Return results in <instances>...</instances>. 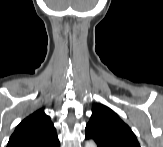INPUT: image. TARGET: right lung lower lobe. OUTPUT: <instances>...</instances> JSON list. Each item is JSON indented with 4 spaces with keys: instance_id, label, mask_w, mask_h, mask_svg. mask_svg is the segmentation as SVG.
<instances>
[{
    "instance_id": "98d812e1",
    "label": "right lung lower lobe",
    "mask_w": 163,
    "mask_h": 147,
    "mask_svg": "<svg viewBox=\"0 0 163 147\" xmlns=\"http://www.w3.org/2000/svg\"><path fill=\"white\" fill-rule=\"evenodd\" d=\"M60 143L58 138L55 141H52L47 144H31V145H23L21 147H59Z\"/></svg>"
}]
</instances>
